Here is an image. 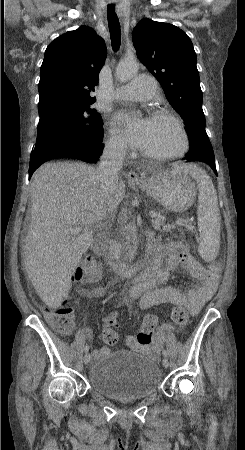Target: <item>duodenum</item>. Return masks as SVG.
<instances>
[{
    "instance_id": "410a0bca",
    "label": "duodenum",
    "mask_w": 245,
    "mask_h": 450,
    "mask_svg": "<svg viewBox=\"0 0 245 450\" xmlns=\"http://www.w3.org/2000/svg\"><path fill=\"white\" fill-rule=\"evenodd\" d=\"M106 233L109 235V238L106 242L108 252L104 256V259L107 265L114 271L118 272L122 277H129L141 273L149 269L153 265L154 262L152 258H148L144 264H141L139 262L119 263L114 261L111 257L112 252L116 246L114 231L107 230Z\"/></svg>"
}]
</instances>
